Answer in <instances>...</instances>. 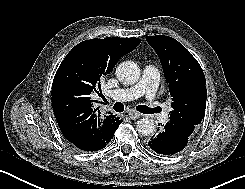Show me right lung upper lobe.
I'll return each instance as SVG.
<instances>
[{"instance_id": "right-lung-upper-lobe-1", "label": "right lung upper lobe", "mask_w": 245, "mask_h": 189, "mask_svg": "<svg viewBox=\"0 0 245 189\" xmlns=\"http://www.w3.org/2000/svg\"><path fill=\"white\" fill-rule=\"evenodd\" d=\"M140 42L138 38L91 39L79 43L67 54L53 80L52 106L68 141L94 133V121L101 113L94 109L92 95L97 92L101 78ZM116 120L110 115L108 124Z\"/></svg>"}]
</instances>
